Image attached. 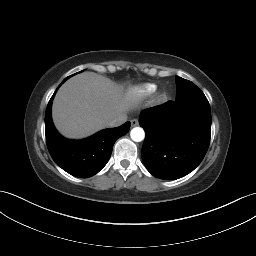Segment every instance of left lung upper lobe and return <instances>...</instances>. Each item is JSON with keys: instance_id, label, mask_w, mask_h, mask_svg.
<instances>
[{"instance_id": "left-lung-upper-lobe-1", "label": "left lung upper lobe", "mask_w": 256, "mask_h": 256, "mask_svg": "<svg viewBox=\"0 0 256 256\" xmlns=\"http://www.w3.org/2000/svg\"><path fill=\"white\" fill-rule=\"evenodd\" d=\"M176 91L178 97L202 93V91L194 83L178 76H176Z\"/></svg>"}]
</instances>
